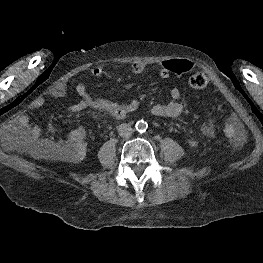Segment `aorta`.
Listing matches in <instances>:
<instances>
[{
  "mask_svg": "<svg viewBox=\"0 0 263 263\" xmlns=\"http://www.w3.org/2000/svg\"><path fill=\"white\" fill-rule=\"evenodd\" d=\"M146 128H147V123L145 122V121H143V120H140V121H138L137 123H136V129L138 130V131H144V130H146Z\"/></svg>",
  "mask_w": 263,
  "mask_h": 263,
  "instance_id": "762f6f07",
  "label": "aorta"
}]
</instances>
